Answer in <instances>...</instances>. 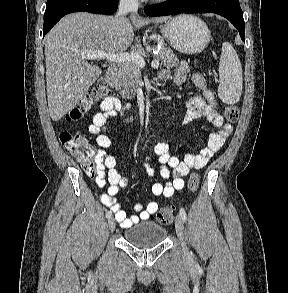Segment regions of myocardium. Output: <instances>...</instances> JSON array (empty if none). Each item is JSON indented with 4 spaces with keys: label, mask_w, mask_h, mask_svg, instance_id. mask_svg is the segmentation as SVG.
I'll return each instance as SVG.
<instances>
[{
    "label": "myocardium",
    "mask_w": 288,
    "mask_h": 293,
    "mask_svg": "<svg viewBox=\"0 0 288 293\" xmlns=\"http://www.w3.org/2000/svg\"><path fill=\"white\" fill-rule=\"evenodd\" d=\"M153 1H155V2H164L166 0H153Z\"/></svg>",
    "instance_id": "obj_1"
}]
</instances>
